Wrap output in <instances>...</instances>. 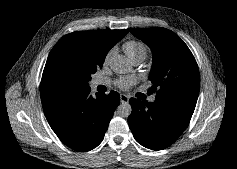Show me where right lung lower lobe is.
Returning <instances> with one entry per match:
<instances>
[{"instance_id": "right-lung-lower-lobe-1", "label": "right lung lower lobe", "mask_w": 237, "mask_h": 169, "mask_svg": "<svg viewBox=\"0 0 237 169\" xmlns=\"http://www.w3.org/2000/svg\"><path fill=\"white\" fill-rule=\"evenodd\" d=\"M86 86L43 104L49 125L58 138L76 151H89L98 146L108 128L120 95L90 94Z\"/></svg>"}]
</instances>
